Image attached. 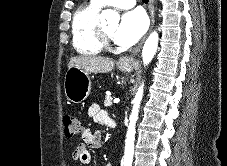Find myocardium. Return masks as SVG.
I'll return each instance as SVG.
<instances>
[{
    "instance_id": "1",
    "label": "myocardium",
    "mask_w": 227,
    "mask_h": 166,
    "mask_svg": "<svg viewBox=\"0 0 227 166\" xmlns=\"http://www.w3.org/2000/svg\"><path fill=\"white\" fill-rule=\"evenodd\" d=\"M97 35H98V38L100 40V42L102 43V45L104 47H107V46H110L111 43H112V35L108 34L104 27H103V24L102 23H98V28H97Z\"/></svg>"
}]
</instances>
